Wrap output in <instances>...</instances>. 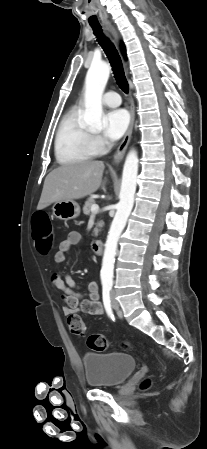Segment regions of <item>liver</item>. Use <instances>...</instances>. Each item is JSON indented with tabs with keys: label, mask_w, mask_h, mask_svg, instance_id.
Returning <instances> with one entry per match:
<instances>
[{
	"label": "liver",
	"mask_w": 207,
	"mask_h": 449,
	"mask_svg": "<svg viewBox=\"0 0 207 449\" xmlns=\"http://www.w3.org/2000/svg\"><path fill=\"white\" fill-rule=\"evenodd\" d=\"M102 161H83L62 165L51 171L45 181L37 206L44 209L52 203L84 198L102 185Z\"/></svg>",
	"instance_id": "6515ba94"
}]
</instances>
